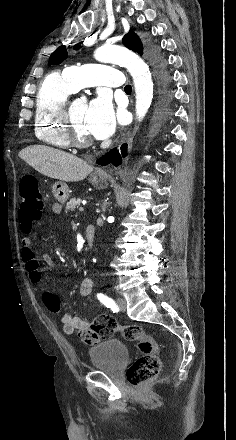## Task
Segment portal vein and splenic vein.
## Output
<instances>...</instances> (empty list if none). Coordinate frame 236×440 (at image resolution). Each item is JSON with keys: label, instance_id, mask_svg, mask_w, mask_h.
I'll list each match as a JSON object with an SVG mask.
<instances>
[{"label": "portal vein and splenic vein", "instance_id": "obj_1", "mask_svg": "<svg viewBox=\"0 0 236 440\" xmlns=\"http://www.w3.org/2000/svg\"><path fill=\"white\" fill-rule=\"evenodd\" d=\"M79 211H81V212L84 211V208H83V207H80V208H79Z\"/></svg>", "mask_w": 236, "mask_h": 440}]
</instances>
